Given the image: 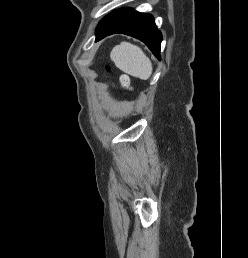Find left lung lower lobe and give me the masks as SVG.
<instances>
[{
    "label": "left lung lower lobe",
    "instance_id": "obj_1",
    "mask_svg": "<svg viewBox=\"0 0 248 258\" xmlns=\"http://www.w3.org/2000/svg\"><path fill=\"white\" fill-rule=\"evenodd\" d=\"M126 34L144 42L160 60L161 32L150 14L120 9L103 19L96 28V41L112 34Z\"/></svg>",
    "mask_w": 248,
    "mask_h": 258
}]
</instances>
